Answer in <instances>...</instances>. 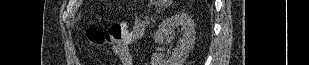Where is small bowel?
I'll use <instances>...</instances> for the list:
<instances>
[{
	"label": "small bowel",
	"instance_id": "c3829d8e",
	"mask_svg": "<svg viewBox=\"0 0 309 65\" xmlns=\"http://www.w3.org/2000/svg\"><path fill=\"white\" fill-rule=\"evenodd\" d=\"M145 32V24L142 20L137 19L131 30L127 31L123 39L116 43L113 52L119 60L120 65H133L130 53V45L141 39Z\"/></svg>",
	"mask_w": 309,
	"mask_h": 65
}]
</instances>
